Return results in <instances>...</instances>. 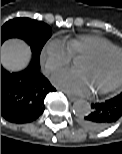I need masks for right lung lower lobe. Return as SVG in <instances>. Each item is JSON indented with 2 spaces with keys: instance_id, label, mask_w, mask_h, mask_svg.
I'll return each mask as SVG.
<instances>
[{
  "instance_id": "obj_1",
  "label": "right lung lower lobe",
  "mask_w": 122,
  "mask_h": 154,
  "mask_svg": "<svg viewBox=\"0 0 122 154\" xmlns=\"http://www.w3.org/2000/svg\"><path fill=\"white\" fill-rule=\"evenodd\" d=\"M39 68L35 58L27 69L18 73H10L1 66V116L6 120L27 123L43 113L44 99L55 88Z\"/></svg>"
}]
</instances>
